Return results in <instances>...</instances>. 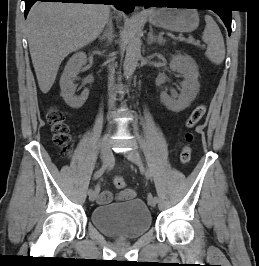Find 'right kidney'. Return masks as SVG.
<instances>
[{"label":"right kidney","mask_w":259,"mask_h":266,"mask_svg":"<svg viewBox=\"0 0 259 266\" xmlns=\"http://www.w3.org/2000/svg\"><path fill=\"white\" fill-rule=\"evenodd\" d=\"M86 62L87 55L85 52L80 51L75 53L67 62L60 78L61 96L66 104L74 109L82 107L89 95V90L85 89L80 96H75L76 86L74 81Z\"/></svg>","instance_id":"1"}]
</instances>
